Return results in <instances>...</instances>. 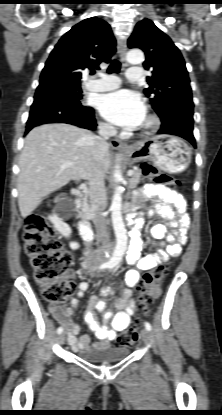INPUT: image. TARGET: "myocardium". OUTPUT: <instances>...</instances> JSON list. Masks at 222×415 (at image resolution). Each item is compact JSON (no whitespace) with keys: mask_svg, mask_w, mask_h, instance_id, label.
I'll return each instance as SVG.
<instances>
[{"mask_svg":"<svg viewBox=\"0 0 222 415\" xmlns=\"http://www.w3.org/2000/svg\"><path fill=\"white\" fill-rule=\"evenodd\" d=\"M159 125V118L153 114L147 113L139 129L142 133L149 134L155 131L159 127Z\"/></svg>","mask_w":222,"mask_h":415,"instance_id":"myocardium-1","label":"myocardium"}]
</instances>
